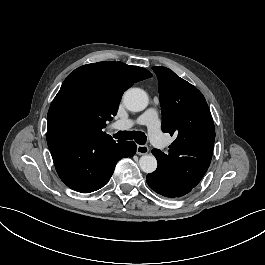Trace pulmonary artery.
<instances>
[{"mask_svg": "<svg viewBox=\"0 0 265 265\" xmlns=\"http://www.w3.org/2000/svg\"><path fill=\"white\" fill-rule=\"evenodd\" d=\"M146 129L150 130L148 138L152 147L160 149L164 147L166 140L162 135L159 128L158 110L156 108H148L145 113L139 118L138 122H143ZM122 125H133L134 122L131 120L121 121Z\"/></svg>", "mask_w": 265, "mask_h": 265, "instance_id": "1", "label": "pulmonary artery"}]
</instances>
